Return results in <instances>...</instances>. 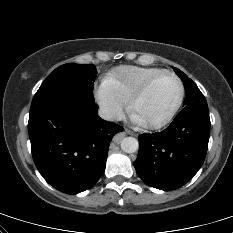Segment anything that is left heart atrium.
<instances>
[{
	"label": "left heart atrium",
	"instance_id": "39dd6f15",
	"mask_svg": "<svg viewBox=\"0 0 233 233\" xmlns=\"http://www.w3.org/2000/svg\"><path fill=\"white\" fill-rule=\"evenodd\" d=\"M132 121L135 123V124H138V125H143V121L137 117L136 115L132 114Z\"/></svg>",
	"mask_w": 233,
	"mask_h": 233
}]
</instances>
